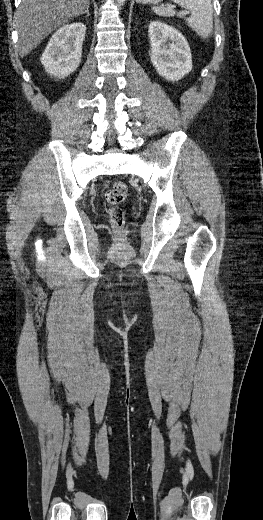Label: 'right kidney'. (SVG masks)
I'll return each instance as SVG.
<instances>
[{"label": "right kidney", "mask_w": 263, "mask_h": 520, "mask_svg": "<svg viewBox=\"0 0 263 520\" xmlns=\"http://www.w3.org/2000/svg\"><path fill=\"white\" fill-rule=\"evenodd\" d=\"M86 25L81 22L67 24L51 37L40 58L46 72L56 78H64L79 66Z\"/></svg>", "instance_id": "right-kidney-1"}]
</instances>
